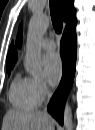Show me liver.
Instances as JSON below:
<instances>
[{"instance_id": "liver-1", "label": "liver", "mask_w": 95, "mask_h": 130, "mask_svg": "<svg viewBox=\"0 0 95 130\" xmlns=\"http://www.w3.org/2000/svg\"><path fill=\"white\" fill-rule=\"evenodd\" d=\"M2 130H54L55 122L40 110L12 108L4 116Z\"/></svg>"}]
</instances>
